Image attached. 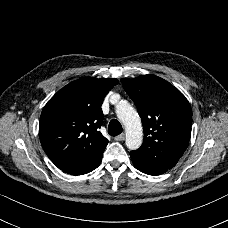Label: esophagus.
<instances>
[{"label":"esophagus","mask_w":228,"mask_h":228,"mask_svg":"<svg viewBox=\"0 0 228 228\" xmlns=\"http://www.w3.org/2000/svg\"><path fill=\"white\" fill-rule=\"evenodd\" d=\"M124 138H125V134H124V133H121V134H119L118 136H116L114 139H115L116 141H123Z\"/></svg>","instance_id":"1"}]
</instances>
